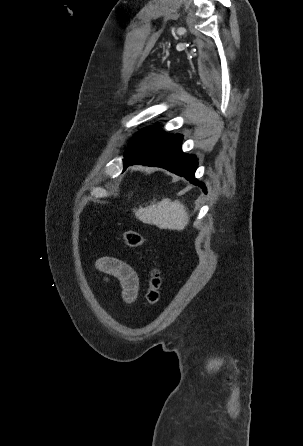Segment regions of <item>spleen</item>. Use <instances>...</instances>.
<instances>
[{"label": "spleen", "mask_w": 303, "mask_h": 446, "mask_svg": "<svg viewBox=\"0 0 303 446\" xmlns=\"http://www.w3.org/2000/svg\"><path fill=\"white\" fill-rule=\"evenodd\" d=\"M135 217L146 224L156 225L160 229L183 230L189 222L185 206L178 200L164 198L152 202L149 206L133 210Z\"/></svg>", "instance_id": "obj_1"}]
</instances>
